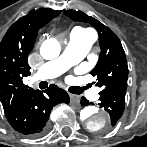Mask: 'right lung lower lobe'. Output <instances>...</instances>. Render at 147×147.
Here are the masks:
<instances>
[{
  "mask_svg": "<svg viewBox=\"0 0 147 147\" xmlns=\"http://www.w3.org/2000/svg\"><path fill=\"white\" fill-rule=\"evenodd\" d=\"M69 101L67 92L52 84L44 92L36 90L26 102L5 114L16 131L28 136H39L47 128L52 108L61 102L68 104Z\"/></svg>",
  "mask_w": 147,
  "mask_h": 147,
  "instance_id": "obj_1",
  "label": "right lung lower lobe"
}]
</instances>
